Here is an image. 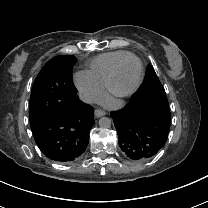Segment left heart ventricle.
I'll use <instances>...</instances> for the list:
<instances>
[{
	"instance_id": "1",
	"label": "left heart ventricle",
	"mask_w": 208,
	"mask_h": 208,
	"mask_svg": "<svg viewBox=\"0 0 208 208\" xmlns=\"http://www.w3.org/2000/svg\"><path fill=\"white\" fill-rule=\"evenodd\" d=\"M140 65L136 59L127 60L119 69L114 87L117 91H127L131 89L138 80Z\"/></svg>"
}]
</instances>
